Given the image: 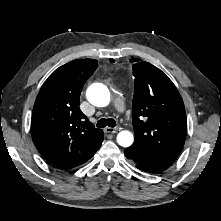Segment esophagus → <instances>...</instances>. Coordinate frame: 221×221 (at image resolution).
I'll return each mask as SVG.
<instances>
[{
  "label": "esophagus",
  "instance_id": "esophagus-1",
  "mask_svg": "<svg viewBox=\"0 0 221 221\" xmlns=\"http://www.w3.org/2000/svg\"><path fill=\"white\" fill-rule=\"evenodd\" d=\"M120 130V128H112V127H106L105 128V132L106 133H111V134H114L116 132H118Z\"/></svg>",
  "mask_w": 221,
  "mask_h": 221
}]
</instances>
